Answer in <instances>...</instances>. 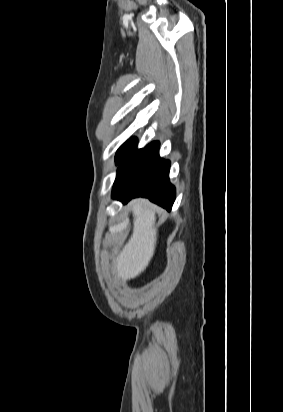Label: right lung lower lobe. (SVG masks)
<instances>
[{"label":"right lung lower lobe","instance_id":"obj_1","mask_svg":"<svg viewBox=\"0 0 283 412\" xmlns=\"http://www.w3.org/2000/svg\"><path fill=\"white\" fill-rule=\"evenodd\" d=\"M159 142L144 149L134 150L121 162L113 185L112 198L127 203L135 197L150 201L171 210L175 188L169 181L170 162L159 156Z\"/></svg>","mask_w":283,"mask_h":412}]
</instances>
